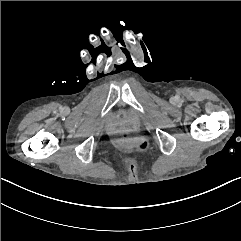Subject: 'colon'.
<instances>
[{"label": "colon", "mask_w": 241, "mask_h": 241, "mask_svg": "<svg viewBox=\"0 0 241 241\" xmlns=\"http://www.w3.org/2000/svg\"><path fill=\"white\" fill-rule=\"evenodd\" d=\"M123 144L128 150L144 153L148 151L150 142L142 136H136L134 134H125L123 136Z\"/></svg>", "instance_id": "1"}]
</instances>
